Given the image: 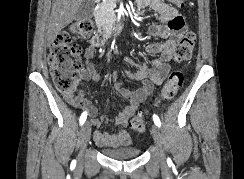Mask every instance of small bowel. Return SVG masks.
<instances>
[{
    "instance_id": "small-bowel-1",
    "label": "small bowel",
    "mask_w": 244,
    "mask_h": 179,
    "mask_svg": "<svg viewBox=\"0 0 244 179\" xmlns=\"http://www.w3.org/2000/svg\"><path fill=\"white\" fill-rule=\"evenodd\" d=\"M136 5L140 9H149L159 16V22L151 23L148 26V34L151 37L163 38L162 43H149L146 45V53L159 57L154 58L148 63H137L129 57L124 59L125 63L135 68L134 71H127L126 76L130 80L140 81L141 87L137 90H130L122 82H115L118 78V72L112 74V80L115 82L114 88L117 94L128 100L126 107L120 112L115 119V124L119 127H126L129 119L138 109L140 104L152 93L153 86L164 81L170 71V60L173 57L174 47L177 40L182 35L183 17L170 4L163 0H138ZM98 46L90 44L84 52L87 60L86 67L80 73L79 83L81 87L76 90L63 93L64 100L71 106L78 109H87L92 126L99 128L102 123L108 121L107 118L101 120L95 118L97 109L94 108L90 101L86 99L84 84L89 80L99 81L101 75L96 66L91 62L95 57ZM94 141L100 147L125 146L131 141V134L125 130L119 132H107L97 129L94 132Z\"/></svg>"
}]
</instances>
